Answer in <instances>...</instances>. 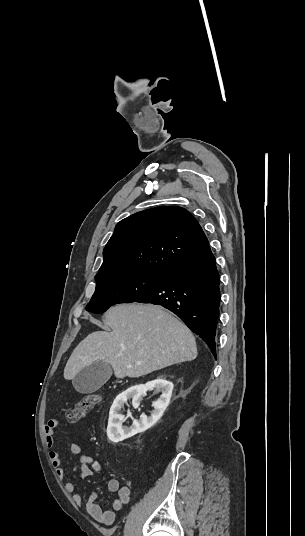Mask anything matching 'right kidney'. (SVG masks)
Instances as JSON below:
<instances>
[{
	"label": "right kidney",
	"mask_w": 305,
	"mask_h": 536,
	"mask_svg": "<svg viewBox=\"0 0 305 536\" xmlns=\"http://www.w3.org/2000/svg\"><path fill=\"white\" fill-rule=\"evenodd\" d=\"M147 390H155V394L162 392L160 398L153 402L152 406L154 408L151 416H140L139 422H133L131 428H124L122 426L125 418L121 414V406L126 404L129 398H133V402H137V406L140 404V396L145 394ZM173 384L168 382L164 376H158L156 380L152 382H147V384H140V386H133V388H128L123 394L117 396L109 414V422L107 426V436L111 442H122L126 438H131L134 434H139V432H145L148 428H152L161 416L165 412L170 398L172 396ZM136 406V408H137Z\"/></svg>",
	"instance_id": "obj_1"
}]
</instances>
